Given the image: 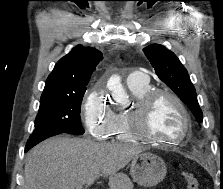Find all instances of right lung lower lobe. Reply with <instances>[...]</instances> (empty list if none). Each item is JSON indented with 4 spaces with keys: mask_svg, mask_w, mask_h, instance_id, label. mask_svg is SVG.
<instances>
[{
    "mask_svg": "<svg viewBox=\"0 0 223 189\" xmlns=\"http://www.w3.org/2000/svg\"><path fill=\"white\" fill-rule=\"evenodd\" d=\"M61 133L62 132L52 131V132H43V133L32 134L27 141V145L25 147V152H27L30 148H32L33 146H35L39 142L45 140L46 138H49L51 136H55V135H58V134H61Z\"/></svg>",
    "mask_w": 223,
    "mask_h": 189,
    "instance_id": "98d812e1",
    "label": "right lung lower lobe"
}]
</instances>
